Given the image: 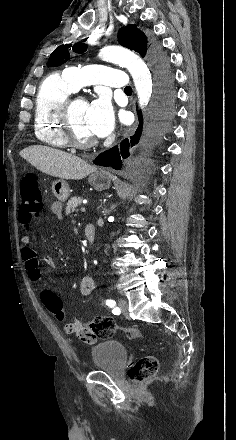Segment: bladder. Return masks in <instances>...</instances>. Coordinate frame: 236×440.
<instances>
[{"mask_svg": "<svg viewBox=\"0 0 236 440\" xmlns=\"http://www.w3.org/2000/svg\"><path fill=\"white\" fill-rule=\"evenodd\" d=\"M91 360L96 371L118 375L126 367L128 354L123 344L109 340L92 347Z\"/></svg>", "mask_w": 236, "mask_h": 440, "instance_id": "31cf9c89", "label": "bladder"}]
</instances>
